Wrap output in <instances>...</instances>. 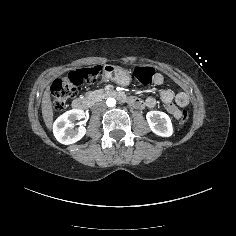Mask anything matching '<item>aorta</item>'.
Listing matches in <instances>:
<instances>
[{"label": "aorta", "mask_w": 236, "mask_h": 236, "mask_svg": "<svg viewBox=\"0 0 236 236\" xmlns=\"http://www.w3.org/2000/svg\"><path fill=\"white\" fill-rule=\"evenodd\" d=\"M106 104L108 107H114L116 105V100L114 98H108Z\"/></svg>", "instance_id": "obj_1"}]
</instances>
